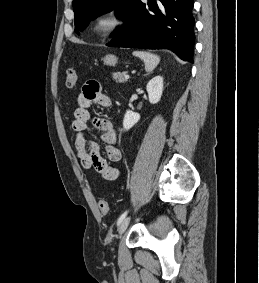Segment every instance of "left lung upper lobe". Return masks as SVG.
Masks as SVG:
<instances>
[{"label": "left lung upper lobe", "mask_w": 259, "mask_h": 283, "mask_svg": "<svg viewBox=\"0 0 259 283\" xmlns=\"http://www.w3.org/2000/svg\"><path fill=\"white\" fill-rule=\"evenodd\" d=\"M136 0H73L75 32L79 34L93 19L117 7L115 14L127 20ZM120 29L113 33L115 35Z\"/></svg>", "instance_id": "obj_1"}]
</instances>
